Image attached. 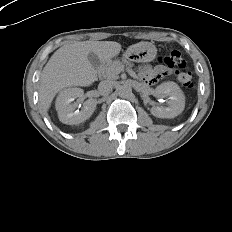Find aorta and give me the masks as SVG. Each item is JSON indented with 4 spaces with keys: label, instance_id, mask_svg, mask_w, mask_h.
<instances>
[{
    "label": "aorta",
    "instance_id": "obj_1",
    "mask_svg": "<svg viewBox=\"0 0 232 232\" xmlns=\"http://www.w3.org/2000/svg\"><path fill=\"white\" fill-rule=\"evenodd\" d=\"M118 93L120 97L128 98L132 95V88L129 85L124 84L120 86Z\"/></svg>",
    "mask_w": 232,
    "mask_h": 232
}]
</instances>
